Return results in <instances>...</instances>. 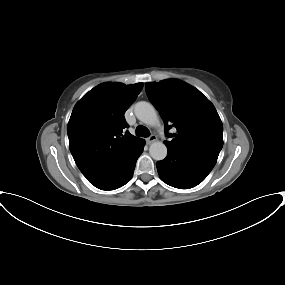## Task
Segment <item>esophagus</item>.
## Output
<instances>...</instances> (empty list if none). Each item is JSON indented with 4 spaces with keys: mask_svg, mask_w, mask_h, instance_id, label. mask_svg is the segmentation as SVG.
<instances>
[{
    "mask_svg": "<svg viewBox=\"0 0 285 285\" xmlns=\"http://www.w3.org/2000/svg\"><path fill=\"white\" fill-rule=\"evenodd\" d=\"M157 140V136L156 135H151V136H149L147 139H146V141H147V143L148 144H152L153 142H155Z\"/></svg>",
    "mask_w": 285,
    "mask_h": 285,
    "instance_id": "34e87169",
    "label": "esophagus"
}]
</instances>
